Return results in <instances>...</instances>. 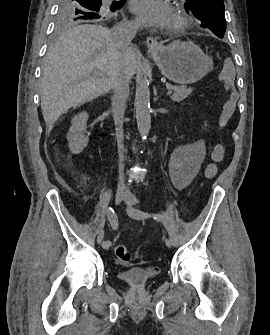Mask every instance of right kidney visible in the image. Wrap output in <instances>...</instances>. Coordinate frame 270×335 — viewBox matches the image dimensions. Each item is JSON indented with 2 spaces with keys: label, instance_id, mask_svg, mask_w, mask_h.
Segmentation results:
<instances>
[{
  "label": "right kidney",
  "instance_id": "1",
  "mask_svg": "<svg viewBox=\"0 0 270 335\" xmlns=\"http://www.w3.org/2000/svg\"><path fill=\"white\" fill-rule=\"evenodd\" d=\"M87 120V112H80L71 122V128L66 138L69 142V150L72 154H80L83 148H86L88 144V138L85 136Z\"/></svg>",
  "mask_w": 270,
  "mask_h": 335
}]
</instances>
